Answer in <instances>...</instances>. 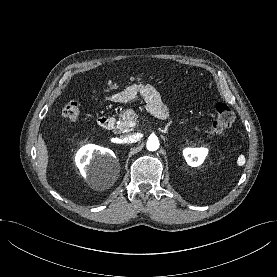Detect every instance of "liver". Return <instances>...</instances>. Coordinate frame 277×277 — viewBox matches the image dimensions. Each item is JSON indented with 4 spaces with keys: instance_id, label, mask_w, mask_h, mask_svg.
<instances>
[{
    "instance_id": "1",
    "label": "liver",
    "mask_w": 277,
    "mask_h": 277,
    "mask_svg": "<svg viewBox=\"0 0 277 277\" xmlns=\"http://www.w3.org/2000/svg\"><path fill=\"white\" fill-rule=\"evenodd\" d=\"M37 156H38V164H39L41 173L45 175L49 156H48L47 146L41 135H39L38 141H37Z\"/></svg>"
}]
</instances>
